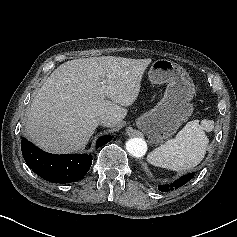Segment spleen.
<instances>
[{
    "label": "spleen",
    "instance_id": "1",
    "mask_svg": "<svg viewBox=\"0 0 237 237\" xmlns=\"http://www.w3.org/2000/svg\"><path fill=\"white\" fill-rule=\"evenodd\" d=\"M214 122L204 119L188 122L174 139H170L154 149L148 156V162L154 166L183 171L197 166L205 157L209 139L205 131L210 132Z\"/></svg>",
    "mask_w": 237,
    "mask_h": 237
}]
</instances>
